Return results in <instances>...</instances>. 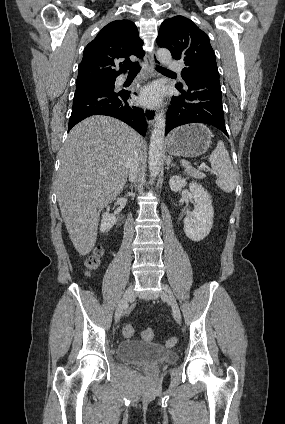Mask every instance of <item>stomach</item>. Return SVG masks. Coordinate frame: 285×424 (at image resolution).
Returning a JSON list of instances; mask_svg holds the SVG:
<instances>
[{"instance_id":"0dacf381","label":"stomach","mask_w":285,"mask_h":424,"mask_svg":"<svg viewBox=\"0 0 285 424\" xmlns=\"http://www.w3.org/2000/svg\"><path fill=\"white\" fill-rule=\"evenodd\" d=\"M211 138L205 125L194 123L175 129L166 140V148L171 155L197 157L208 150Z\"/></svg>"}]
</instances>
